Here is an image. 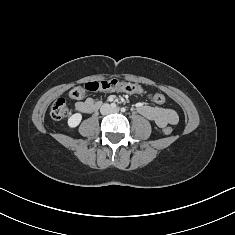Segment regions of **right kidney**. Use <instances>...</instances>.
Returning a JSON list of instances; mask_svg holds the SVG:
<instances>
[{
  "mask_svg": "<svg viewBox=\"0 0 235 235\" xmlns=\"http://www.w3.org/2000/svg\"><path fill=\"white\" fill-rule=\"evenodd\" d=\"M81 120H82V115L80 113H75L69 117L67 123L70 128H75L80 124Z\"/></svg>",
  "mask_w": 235,
  "mask_h": 235,
  "instance_id": "ca27d5eb",
  "label": "right kidney"
}]
</instances>
